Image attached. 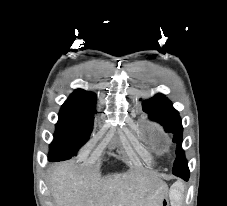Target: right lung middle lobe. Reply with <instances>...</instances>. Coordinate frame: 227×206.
<instances>
[{"instance_id":"obj_1","label":"right lung middle lobe","mask_w":227,"mask_h":206,"mask_svg":"<svg viewBox=\"0 0 227 206\" xmlns=\"http://www.w3.org/2000/svg\"><path fill=\"white\" fill-rule=\"evenodd\" d=\"M96 99H68L59 113L54 141L50 145L49 158L65 160L76 154L86 143L93 127Z\"/></svg>"}]
</instances>
